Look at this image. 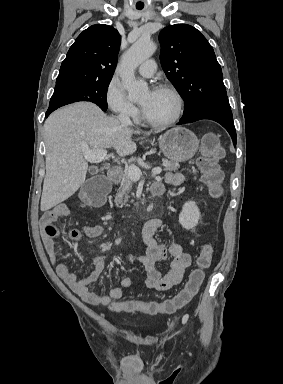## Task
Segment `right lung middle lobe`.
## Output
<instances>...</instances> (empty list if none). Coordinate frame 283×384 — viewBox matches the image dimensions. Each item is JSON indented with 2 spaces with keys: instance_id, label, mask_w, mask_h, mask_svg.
Masks as SVG:
<instances>
[{
  "instance_id": "right-lung-middle-lobe-1",
  "label": "right lung middle lobe",
  "mask_w": 283,
  "mask_h": 384,
  "mask_svg": "<svg viewBox=\"0 0 283 384\" xmlns=\"http://www.w3.org/2000/svg\"><path fill=\"white\" fill-rule=\"evenodd\" d=\"M110 81L80 82L55 86L49 109H57L77 101H90L97 104L102 110H106V95Z\"/></svg>"
}]
</instances>
